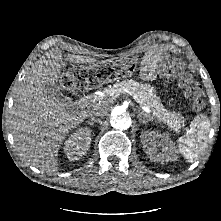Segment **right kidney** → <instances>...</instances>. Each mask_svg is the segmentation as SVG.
I'll return each mask as SVG.
<instances>
[{"label":"right kidney","mask_w":221,"mask_h":221,"mask_svg":"<svg viewBox=\"0 0 221 221\" xmlns=\"http://www.w3.org/2000/svg\"><path fill=\"white\" fill-rule=\"evenodd\" d=\"M91 144V130L82 128L72 134L64 143V151L70 161L84 156Z\"/></svg>","instance_id":"1"}]
</instances>
